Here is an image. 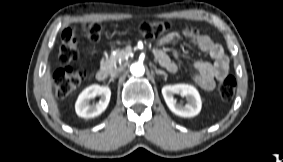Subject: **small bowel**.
<instances>
[{"mask_svg":"<svg viewBox=\"0 0 283 162\" xmlns=\"http://www.w3.org/2000/svg\"><path fill=\"white\" fill-rule=\"evenodd\" d=\"M185 38L193 47L201 52L208 53L213 62L197 61L194 64V81L204 90H212L217 80L227 76L229 72V59L221 45L214 43L205 34H200L196 29L186 28L181 31H172L158 41L154 55L158 62L170 72L177 70L176 63L168 56L164 46L175 44Z\"/></svg>","mask_w":283,"mask_h":162,"instance_id":"c3829d8e","label":"small bowel"}]
</instances>
